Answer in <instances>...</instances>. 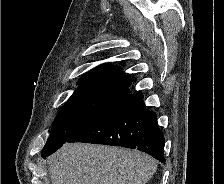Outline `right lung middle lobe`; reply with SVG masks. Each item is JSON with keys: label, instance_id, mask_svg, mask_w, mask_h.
<instances>
[{"label": "right lung middle lobe", "instance_id": "1", "mask_svg": "<svg viewBox=\"0 0 224 184\" xmlns=\"http://www.w3.org/2000/svg\"><path fill=\"white\" fill-rule=\"evenodd\" d=\"M129 94L127 86L109 83L80 85L56 116L42 151L64 144Z\"/></svg>", "mask_w": 224, "mask_h": 184}]
</instances>
